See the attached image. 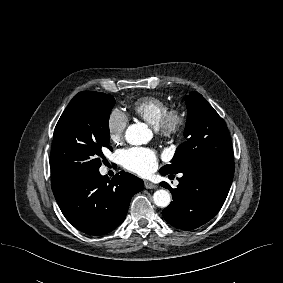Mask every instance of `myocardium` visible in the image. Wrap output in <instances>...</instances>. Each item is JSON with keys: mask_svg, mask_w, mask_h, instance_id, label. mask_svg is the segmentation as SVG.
I'll use <instances>...</instances> for the list:
<instances>
[{"mask_svg": "<svg viewBox=\"0 0 283 283\" xmlns=\"http://www.w3.org/2000/svg\"><path fill=\"white\" fill-rule=\"evenodd\" d=\"M186 123V111L180 106H173L166 110L156 129L162 137L173 138L183 132Z\"/></svg>", "mask_w": 283, "mask_h": 283, "instance_id": "f54148a6", "label": "myocardium"}]
</instances>
